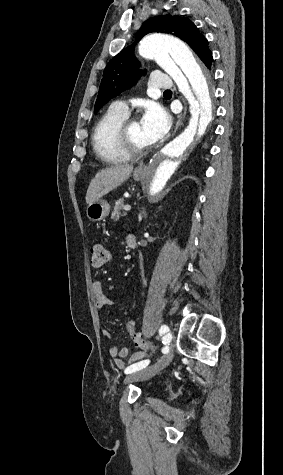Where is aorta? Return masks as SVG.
Masks as SVG:
<instances>
[{
	"mask_svg": "<svg viewBox=\"0 0 283 475\" xmlns=\"http://www.w3.org/2000/svg\"><path fill=\"white\" fill-rule=\"evenodd\" d=\"M140 56L154 59L175 81L190 104L188 126L151 159L141 182L143 199L157 200L172 179L195 154L212 120V81L189 48L179 39L164 34L144 37ZM144 211V208H142Z\"/></svg>",
	"mask_w": 283,
	"mask_h": 475,
	"instance_id": "aorta-1",
	"label": "aorta"
}]
</instances>
